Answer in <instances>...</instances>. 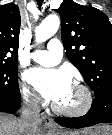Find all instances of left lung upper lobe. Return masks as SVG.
Listing matches in <instances>:
<instances>
[{
	"label": "left lung upper lobe",
	"instance_id": "left-lung-upper-lobe-1",
	"mask_svg": "<svg viewBox=\"0 0 112 135\" xmlns=\"http://www.w3.org/2000/svg\"><path fill=\"white\" fill-rule=\"evenodd\" d=\"M57 11L68 60L76 66L95 96L112 92V25L92 6L65 0Z\"/></svg>",
	"mask_w": 112,
	"mask_h": 135
}]
</instances>
